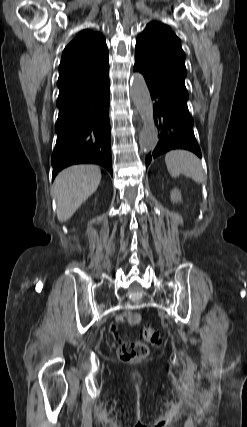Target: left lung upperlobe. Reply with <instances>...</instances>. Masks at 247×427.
Listing matches in <instances>:
<instances>
[{"mask_svg": "<svg viewBox=\"0 0 247 427\" xmlns=\"http://www.w3.org/2000/svg\"><path fill=\"white\" fill-rule=\"evenodd\" d=\"M185 53L167 25L150 22L136 39L135 65L148 76L188 98Z\"/></svg>", "mask_w": 247, "mask_h": 427, "instance_id": "left-lung-upper-lobe-1", "label": "left lung upper lobe"}]
</instances>
